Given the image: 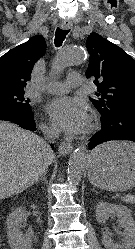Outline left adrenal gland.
Listing matches in <instances>:
<instances>
[{
  "mask_svg": "<svg viewBox=\"0 0 135 249\" xmlns=\"http://www.w3.org/2000/svg\"><path fill=\"white\" fill-rule=\"evenodd\" d=\"M93 192H97L94 188L92 189Z\"/></svg>",
  "mask_w": 135,
  "mask_h": 249,
  "instance_id": "a2214340",
  "label": "left adrenal gland"
}]
</instances>
